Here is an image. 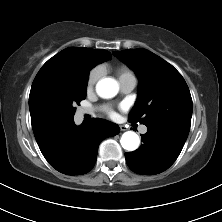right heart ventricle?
<instances>
[{
	"label": "right heart ventricle",
	"instance_id": "e07e8e85",
	"mask_svg": "<svg viewBox=\"0 0 222 222\" xmlns=\"http://www.w3.org/2000/svg\"><path fill=\"white\" fill-rule=\"evenodd\" d=\"M115 73L119 82L126 78H135L132 71L128 69L126 66H117L115 68Z\"/></svg>",
	"mask_w": 222,
	"mask_h": 222
}]
</instances>
